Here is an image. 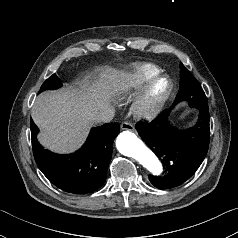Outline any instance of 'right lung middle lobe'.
I'll return each instance as SVG.
<instances>
[{
  "label": "right lung middle lobe",
  "mask_w": 238,
  "mask_h": 238,
  "mask_svg": "<svg viewBox=\"0 0 238 238\" xmlns=\"http://www.w3.org/2000/svg\"><path fill=\"white\" fill-rule=\"evenodd\" d=\"M60 86H62V82L60 81V79L56 75H52L43 83L39 93L48 89H56Z\"/></svg>",
  "instance_id": "dd1d6c3e"
}]
</instances>
